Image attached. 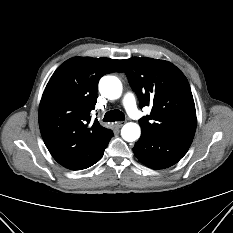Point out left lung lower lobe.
I'll return each mask as SVG.
<instances>
[{"mask_svg":"<svg viewBox=\"0 0 233 233\" xmlns=\"http://www.w3.org/2000/svg\"><path fill=\"white\" fill-rule=\"evenodd\" d=\"M192 140L175 139L142 131L133 152L146 166L163 169L177 163L188 151Z\"/></svg>","mask_w":233,"mask_h":233,"instance_id":"left-lung-lower-lobe-1","label":"left lung lower lobe"}]
</instances>
